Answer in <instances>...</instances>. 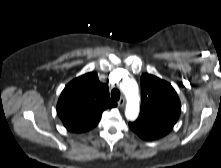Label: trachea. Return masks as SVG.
<instances>
[{"mask_svg":"<svg viewBox=\"0 0 221 168\" xmlns=\"http://www.w3.org/2000/svg\"><path fill=\"white\" fill-rule=\"evenodd\" d=\"M111 97L114 100H119V98H120V91L118 89H113L111 91Z\"/></svg>","mask_w":221,"mask_h":168,"instance_id":"obj_1","label":"trachea"}]
</instances>
